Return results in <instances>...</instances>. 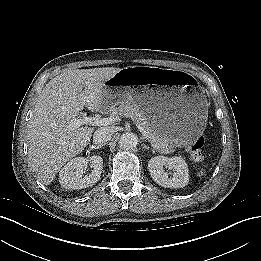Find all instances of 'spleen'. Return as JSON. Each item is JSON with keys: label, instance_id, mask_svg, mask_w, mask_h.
I'll list each match as a JSON object with an SVG mask.
<instances>
[{"label": "spleen", "instance_id": "spleen-1", "mask_svg": "<svg viewBox=\"0 0 261 261\" xmlns=\"http://www.w3.org/2000/svg\"><path fill=\"white\" fill-rule=\"evenodd\" d=\"M205 172H204V170H201L199 173H198V176H201V175H203Z\"/></svg>", "mask_w": 261, "mask_h": 261}]
</instances>
